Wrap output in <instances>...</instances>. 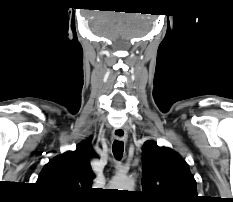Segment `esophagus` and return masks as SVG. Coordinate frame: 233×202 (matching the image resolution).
<instances>
[{
  "label": "esophagus",
  "mask_w": 233,
  "mask_h": 202,
  "mask_svg": "<svg viewBox=\"0 0 233 202\" xmlns=\"http://www.w3.org/2000/svg\"><path fill=\"white\" fill-rule=\"evenodd\" d=\"M113 136L118 140H126L127 139V133L124 128H116L113 131Z\"/></svg>",
  "instance_id": "obj_1"
}]
</instances>
